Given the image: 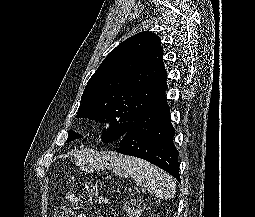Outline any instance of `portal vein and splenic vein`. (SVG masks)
Here are the masks:
<instances>
[{
    "label": "portal vein and splenic vein",
    "instance_id": "obj_1",
    "mask_svg": "<svg viewBox=\"0 0 255 217\" xmlns=\"http://www.w3.org/2000/svg\"><path fill=\"white\" fill-rule=\"evenodd\" d=\"M137 192H140V190H139V189H137Z\"/></svg>",
    "mask_w": 255,
    "mask_h": 217
}]
</instances>
